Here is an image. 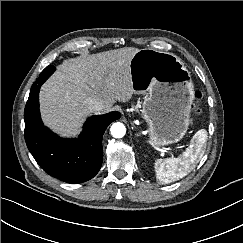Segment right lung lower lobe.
Returning <instances> with one entry per match:
<instances>
[{
	"label": "right lung lower lobe",
	"mask_w": 243,
	"mask_h": 243,
	"mask_svg": "<svg viewBox=\"0 0 243 243\" xmlns=\"http://www.w3.org/2000/svg\"><path fill=\"white\" fill-rule=\"evenodd\" d=\"M55 71L47 66L32 85L24 110L25 141L39 166L49 175L68 183L93 178L103 160L102 136L119 112L92 116L78 139H63L45 127L39 112V89Z\"/></svg>",
	"instance_id": "1"
}]
</instances>
